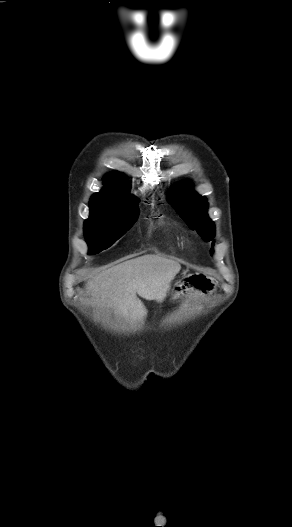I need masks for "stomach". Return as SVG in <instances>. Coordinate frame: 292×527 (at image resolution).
<instances>
[{
	"label": "stomach",
	"instance_id": "1",
	"mask_svg": "<svg viewBox=\"0 0 292 527\" xmlns=\"http://www.w3.org/2000/svg\"><path fill=\"white\" fill-rule=\"evenodd\" d=\"M216 288V283L213 279L203 275L194 274L188 275L177 281L172 289L171 295L175 299L180 295H184L190 289L191 291L210 293Z\"/></svg>",
	"mask_w": 292,
	"mask_h": 527
}]
</instances>
